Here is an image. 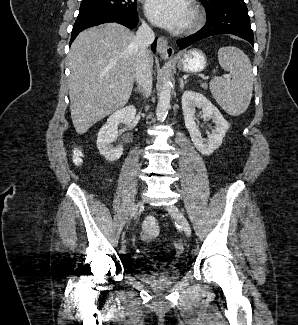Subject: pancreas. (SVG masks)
<instances>
[{"instance_id":"cf45deb5","label":"pancreas","mask_w":298,"mask_h":325,"mask_svg":"<svg viewBox=\"0 0 298 325\" xmlns=\"http://www.w3.org/2000/svg\"><path fill=\"white\" fill-rule=\"evenodd\" d=\"M201 86H202V88H208L207 82H202Z\"/></svg>"}]
</instances>
